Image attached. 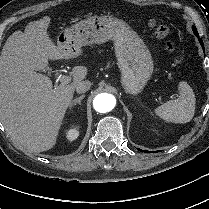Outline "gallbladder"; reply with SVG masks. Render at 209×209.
I'll list each match as a JSON object with an SVG mask.
<instances>
[{
  "mask_svg": "<svg viewBox=\"0 0 209 209\" xmlns=\"http://www.w3.org/2000/svg\"><path fill=\"white\" fill-rule=\"evenodd\" d=\"M45 71H47L48 73H50L51 69L50 68H47Z\"/></svg>",
  "mask_w": 209,
  "mask_h": 209,
  "instance_id": "obj_1",
  "label": "gallbladder"
}]
</instances>
